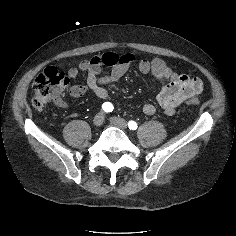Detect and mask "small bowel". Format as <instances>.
<instances>
[{"label": "small bowel", "instance_id": "small-bowel-1", "mask_svg": "<svg viewBox=\"0 0 236 236\" xmlns=\"http://www.w3.org/2000/svg\"><path fill=\"white\" fill-rule=\"evenodd\" d=\"M103 65L111 66V71L102 74ZM133 65H136L142 74L151 73L161 83L156 100L167 115H173L177 107L187 98L199 94L203 89L201 78L177 74L162 59L150 60L146 57L138 59L132 53L123 55L105 53L83 60L76 67L68 70L67 75L70 78H76L80 72L87 74L86 84L71 86L69 93L78 98L92 91L97 97L108 99V86L121 79ZM55 102L60 107L67 106V103L60 98ZM143 112L146 115H153L156 112V106L147 103L143 106Z\"/></svg>", "mask_w": 236, "mask_h": 236}]
</instances>
